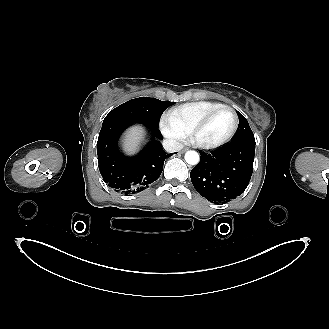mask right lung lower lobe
Returning <instances> with one entry per match:
<instances>
[{"mask_svg": "<svg viewBox=\"0 0 329 329\" xmlns=\"http://www.w3.org/2000/svg\"><path fill=\"white\" fill-rule=\"evenodd\" d=\"M130 124L111 122L101 128L97 141L100 173L111 188L121 194H135L148 188L163 170L164 160L170 156L159 141L158 128H150L151 141L134 157L124 156L118 147V139Z\"/></svg>", "mask_w": 329, "mask_h": 329, "instance_id": "1", "label": "right lung lower lobe"}]
</instances>
